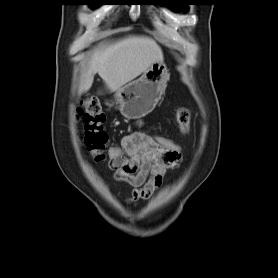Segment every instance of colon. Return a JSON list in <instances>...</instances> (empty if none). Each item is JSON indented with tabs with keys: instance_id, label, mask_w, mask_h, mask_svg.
Masks as SVG:
<instances>
[{
	"instance_id": "colon-1",
	"label": "colon",
	"mask_w": 278,
	"mask_h": 278,
	"mask_svg": "<svg viewBox=\"0 0 278 278\" xmlns=\"http://www.w3.org/2000/svg\"><path fill=\"white\" fill-rule=\"evenodd\" d=\"M78 115L84 123L85 144L88 151L96 160H111L122 156V148L120 145L110 147L106 150L108 142V135L104 130L106 116L96 98L90 97L84 100L81 107L78 109ZM177 120L181 131L186 133L190 123L189 111L184 108L179 109ZM154 139L167 152L175 155L182 154V143L163 136H156Z\"/></svg>"
}]
</instances>
